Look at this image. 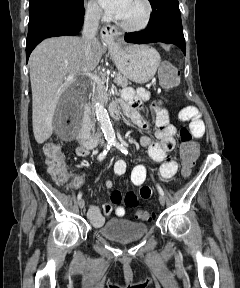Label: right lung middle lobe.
I'll return each instance as SVG.
<instances>
[{"mask_svg": "<svg viewBox=\"0 0 240 288\" xmlns=\"http://www.w3.org/2000/svg\"><path fill=\"white\" fill-rule=\"evenodd\" d=\"M29 23L40 15L55 9L78 10L83 6V0H29Z\"/></svg>", "mask_w": 240, "mask_h": 288, "instance_id": "dd1d6c3e", "label": "right lung middle lobe"}]
</instances>
